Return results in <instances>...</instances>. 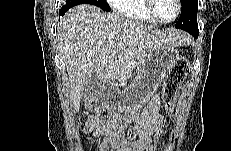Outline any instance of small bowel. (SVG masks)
Returning a JSON list of instances; mask_svg holds the SVG:
<instances>
[{"label": "small bowel", "instance_id": "1", "mask_svg": "<svg viewBox=\"0 0 231 151\" xmlns=\"http://www.w3.org/2000/svg\"><path fill=\"white\" fill-rule=\"evenodd\" d=\"M159 108V97L154 96L143 112L129 120L119 115L89 116L85 130L100 139L101 151H151V137L158 139L163 131ZM128 129L135 135L133 140L126 135Z\"/></svg>", "mask_w": 231, "mask_h": 151}]
</instances>
